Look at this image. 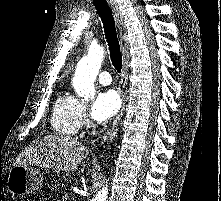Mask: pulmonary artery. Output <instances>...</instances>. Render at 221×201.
<instances>
[{"mask_svg":"<svg viewBox=\"0 0 221 201\" xmlns=\"http://www.w3.org/2000/svg\"><path fill=\"white\" fill-rule=\"evenodd\" d=\"M98 81L100 82V84L102 85H109L112 81L111 75L109 72L107 71H103L99 74L98 76Z\"/></svg>","mask_w":221,"mask_h":201,"instance_id":"1","label":"pulmonary artery"}]
</instances>
